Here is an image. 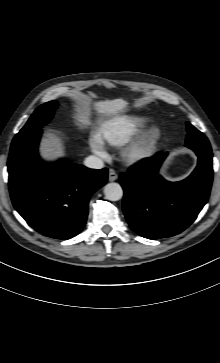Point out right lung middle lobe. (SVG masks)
Returning <instances> with one entry per match:
<instances>
[{
  "label": "right lung middle lobe",
  "instance_id": "obj_1",
  "mask_svg": "<svg viewBox=\"0 0 220 363\" xmlns=\"http://www.w3.org/2000/svg\"><path fill=\"white\" fill-rule=\"evenodd\" d=\"M58 103L53 100L39 106L32 116L29 118L26 125L20 130L19 133L13 139L12 144L28 137L37 130H40L44 125H46L53 117L54 111L57 108Z\"/></svg>",
  "mask_w": 220,
  "mask_h": 363
}]
</instances>
